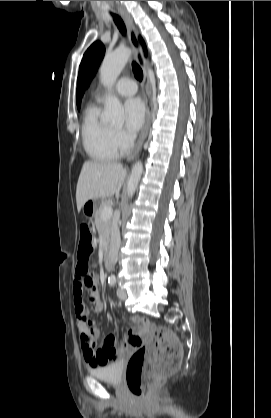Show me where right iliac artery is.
I'll return each instance as SVG.
<instances>
[{
    "mask_svg": "<svg viewBox=\"0 0 271 418\" xmlns=\"http://www.w3.org/2000/svg\"><path fill=\"white\" fill-rule=\"evenodd\" d=\"M108 283H109L111 286H113V285L115 284V281H114V280H108Z\"/></svg>",
    "mask_w": 271,
    "mask_h": 418,
    "instance_id": "82829eb1",
    "label": "right iliac artery"
}]
</instances>
